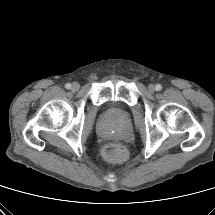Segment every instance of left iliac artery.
I'll return each mask as SVG.
<instances>
[{
  "label": "left iliac artery",
  "mask_w": 215,
  "mask_h": 215,
  "mask_svg": "<svg viewBox=\"0 0 215 215\" xmlns=\"http://www.w3.org/2000/svg\"><path fill=\"white\" fill-rule=\"evenodd\" d=\"M155 88H156L157 91H160V90L162 89V86H161L160 84H157V85L155 86Z\"/></svg>",
  "instance_id": "44dca946"
}]
</instances>
